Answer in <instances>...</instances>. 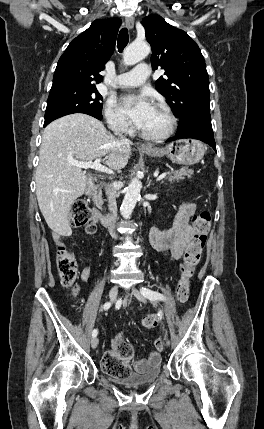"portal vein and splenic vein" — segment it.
Returning <instances> with one entry per match:
<instances>
[{"label": "portal vein and splenic vein", "mask_w": 264, "mask_h": 429, "mask_svg": "<svg viewBox=\"0 0 264 429\" xmlns=\"http://www.w3.org/2000/svg\"><path fill=\"white\" fill-rule=\"evenodd\" d=\"M100 161H101L100 158H98L95 161H75V160H72L69 163L71 165H73V166H76V167H79V168H83V169H89L90 168V169H94V170H97V171H100V172H104V173H107V174H114V171L112 169L103 166L100 163ZM167 174L168 173L165 172V173H162L161 175H159L157 177V181H160L163 178H165V176Z\"/></svg>", "instance_id": "obj_1"}]
</instances>
